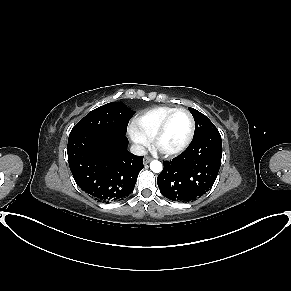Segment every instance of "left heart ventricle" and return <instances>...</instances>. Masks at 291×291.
I'll return each mask as SVG.
<instances>
[{
    "label": "left heart ventricle",
    "mask_w": 291,
    "mask_h": 291,
    "mask_svg": "<svg viewBox=\"0 0 291 291\" xmlns=\"http://www.w3.org/2000/svg\"><path fill=\"white\" fill-rule=\"evenodd\" d=\"M190 130L189 116L184 112L175 114L160 141L161 148L172 150L181 146L186 140Z\"/></svg>",
    "instance_id": "obj_1"
}]
</instances>
